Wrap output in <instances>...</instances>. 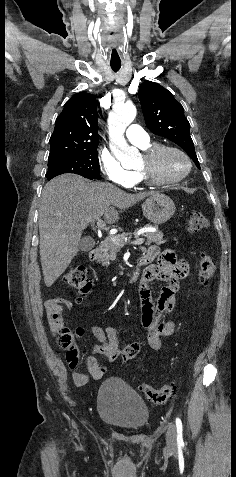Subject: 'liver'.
<instances>
[{
	"label": "liver",
	"instance_id": "6515ba94",
	"mask_svg": "<svg viewBox=\"0 0 236 477\" xmlns=\"http://www.w3.org/2000/svg\"><path fill=\"white\" fill-rule=\"evenodd\" d=\"M147 191L128 194L108 183L89 182L64 174L43 188L39 206L40 258L47 287L64 273L79 250L82 232L102 216L108 224L125 210L157 194Z\"/></svg>",
	"mask_w": 236,
	"mask_h": 477
}]
</instances>
